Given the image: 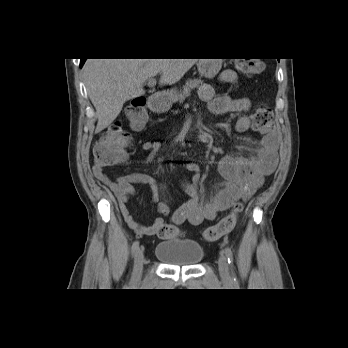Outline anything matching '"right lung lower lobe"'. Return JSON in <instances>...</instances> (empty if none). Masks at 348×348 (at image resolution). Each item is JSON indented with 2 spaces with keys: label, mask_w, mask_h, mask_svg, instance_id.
I'll return each mask as SVG.
<instances>
[{
  "label": "right lung lower lobe",
  "mask_w": 348,
  "mask_h": 348,
  "mask_svg": "<svg viewBox=\"0 0 348 348\" xmlns=\"http://www.w3.org/2000/svg\"><path fill=\"white\" fill-rule=\"evenodd\" d=\"M85 61H86V59H81V60H80V67L83 66V64H84Z\"/></svg>",
  "instance_id": "1"
}]
</instances>
